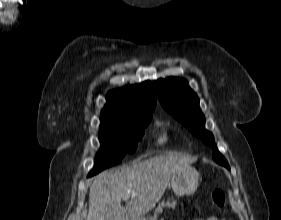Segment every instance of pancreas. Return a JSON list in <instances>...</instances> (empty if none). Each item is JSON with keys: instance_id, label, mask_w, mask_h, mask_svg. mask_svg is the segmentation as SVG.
Returning a JSON list of instances; mask_svg holds the SVG:
<instances>
[{"instance_id": "cf45deb5", "label": "pancreas", "mask_w": 281, "mask_h": 220, "mask_svg": "<svg viewBox=\"0 0 281 220\" xmlns=\"http://www.w3.org/2000/svg\"><path fill=\"white\" fill-rule=\"evenodd\" d=\"M176 205L175 201H170V200H163L159 203L158 207L155 209L154 215L150 220H157L158 215L163 212V208H174Z\"/></svg>"}]
</instances>
